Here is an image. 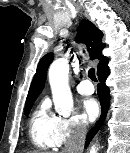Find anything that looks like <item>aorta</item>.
<instances>
[{"mask_svg":"<svg viewBox=\"0 0 130 153\" xmlns=\"http://www.w3.org/2000/svg\"><path fill=\"white\" fill-rule=\"evenodd\" d=\"M69 64L65 58L55 60L49 68V82L55 110L58 114L69 116L73 110V98L68 82ZM98 146L93 145L90 153H97Z\"/></svg>","mask_w":130,"mask_h":153,"instance_id":"aorta-1","label":"aorta"}]
</instances>
